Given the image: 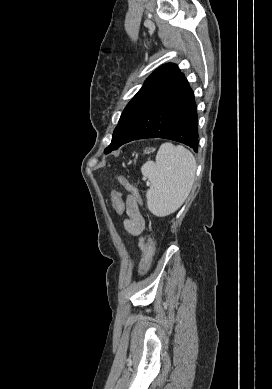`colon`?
Masks as SVG:
<instances>
[{
	"instance_id": "5ec220e1",
	"label": "colon",
	"mask_w": 272,
	"mask_h": 389,
	"mask_svg": "<svg viewBox=\"0 0 272 389\" xmlns=\"http://www.w3.org/2000/svg\"><path fill=\"white\" fill-rule=\"evenodd\" d=\"M118 180L120 184L129 192L131 196H133L137 201L140 200V196L137 188L128 179H126L123 176H119ZM111 197H112V204L115 212L118 214L122 213L125 207V202L122 199L121 193L115 190L112 192ZM153 256H154V241L153 238L149 236L145 246L143 261L141 265L142 274H145L149 270L152 264Z\"/></svg>"
}]
</instances>
